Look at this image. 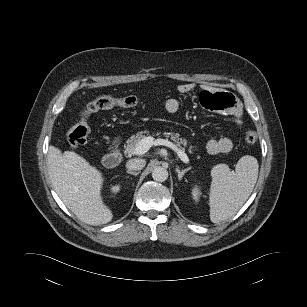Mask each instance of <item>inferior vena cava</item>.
Listing matches in <instances>:
<instances>
[{
  "instance_id": "1",
  "label": "inferior vena cava",
  "mask_w": 307,
  "mask_h": 307,
  "mask_svg": "<svg viewBox=\"0 0 307 307\" xmlns=\"http://www.w3.org/2000/svg\"><path fill=\"white\" fill-rule=\"evenodd\" d=\"M146 165V161L144 159H130L126 163V168L129 170H141Z\"/></svg>"
}]
</instances>
